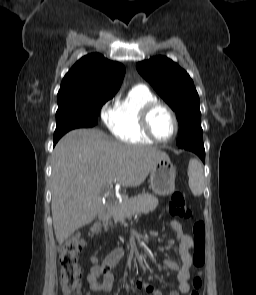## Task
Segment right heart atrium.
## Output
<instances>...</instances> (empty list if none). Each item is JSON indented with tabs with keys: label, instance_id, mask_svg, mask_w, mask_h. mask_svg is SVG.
<instances>
[{
	"label": "right heart atrium",
	"instance_id": "1",
	"mask_svg": "<svg viewBox=\"0 0 256 295\" xmlns=\"http://www.w3.org/2000/svg\"><path fill=\"white\" fill-rule=\"evenodd\" d=\"M108 111H109L108 104H105L101 109L102 116L104 117L105 120H106Z\"/></svg>",
	"mask_w": 256,
	"mask_h": 295
}]
</instances>
